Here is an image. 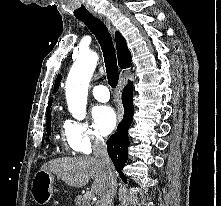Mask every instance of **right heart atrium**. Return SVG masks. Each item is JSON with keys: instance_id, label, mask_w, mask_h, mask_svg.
Here are the masks:
<instances>
[{"instance_id": "d8ad5b80", "label": "right heart atrium", "mask_w": 221, "mask_h": 206, "mask_svg": "<svg viewBox=\"0 0 221 206\" xmlns=\"http://www.w3.org/2000/svg\"><path fill=\"white\" fill-rule=\"evenodd\" d=\"M71 146L77 152L88 154L94 147L102 144L104 139L87 122L71 121Z\"/></svg>"}]
</instances>
